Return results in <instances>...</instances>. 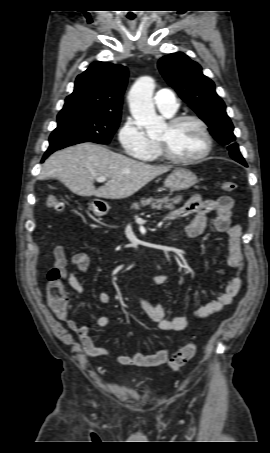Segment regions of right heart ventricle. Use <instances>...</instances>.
<instances>
[{
    "label": "right heart ventricle",
    "instance_id": "obj_1",
    "mask_svg": "<svg viewBox=\"0 0 270 453\" xmlns=\"http://www.w3.org/2000/svg\"><path fill=\"white\" fill-rule=\"evenodd\" d=\"M141 159L143 161H147V162L159 161L161 159V154H160L157 143L153 142V146H152L150 152L147 155H145L144 157H142Z\"/></svg>",
    "mask_w": 270,
    "mask_h": 453
}]
</instances>
